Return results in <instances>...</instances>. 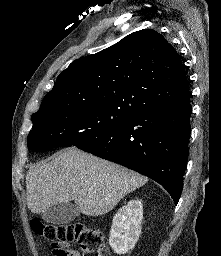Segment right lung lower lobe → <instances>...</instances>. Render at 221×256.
I'll return each instance as SVG.
<instances>
[{"label": "right lung lower lobe", "instance_id": "98d812e1", "mask_svg": "<svg viewBox=\"0 0 221 256\" xmlns=\"http://www.w3.org/2000/svg\"><path fill=\"white\" fill-rule=\"evenodd\" d=\"M190 98L143 111L77 146L161 184L178 203L189 154Z\"/></svg>", "mask_w": 221, "mask_h": 256}]
</instances>
